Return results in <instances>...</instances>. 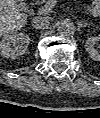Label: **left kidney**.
<instances>
[{
    "label": "left kidney",
    "instance_id": "obj_1",
    "mask_svg": "<svg viewBox=\"0 0 100 118\" xmlns=\"http://www.w3.org/2000/svg\"><path fill=\"white\" fill-rule=\"evenodd\" d=\"M100 41V37L95 36L89 38L85 43V49L90 55V57L95 61H100V51L94 46Z\"/></svg>",
    "mask_w": 100,
    "mask_h": 118
}]
</instances>
